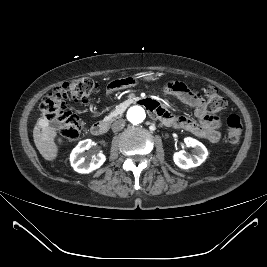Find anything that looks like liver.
Returning <instances> with one entry per match:
<instances>
[{"instance_id": "obj_1", "label": "liver", "mask_w": 267, "mask_h": 267, "mask_svg": "<svg viewBox=\"0 0 267 267\" xmlns=\"http://www.w3.org/2000/svg\"><path fill=\"white\" fill-rule=\"evenodd\" d=\"M57 132L39 120L33 129L34 143L45 160L53 161L58 155V146L55 143Z\"/></svg>"}]
</instances>
